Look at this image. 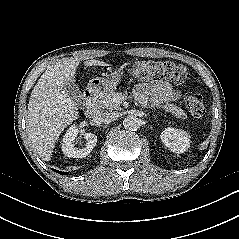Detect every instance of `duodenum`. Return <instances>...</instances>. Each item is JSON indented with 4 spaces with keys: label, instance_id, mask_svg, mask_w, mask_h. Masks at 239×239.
Masks as SVG:
<instances>
[{
    "label": "duodenum",
    "instance_id": "1",
    "mask_svg": "<svg viewBox=\"0 0 239 239\" xmlns=\"http://www.w3.org/2000/svg\"><path fill=\"white\" fill-rule=\"evenodd\" d=\"M98 97L97 91L93 88H89L85 91V115L88 118H94L98 116L99 109H98Z\"/></svg>",
    "mask_w": 239,
    "mask_h": 239
}]
</instances>
